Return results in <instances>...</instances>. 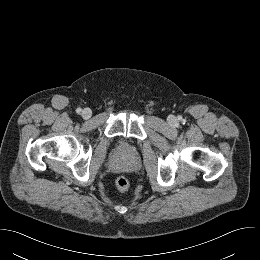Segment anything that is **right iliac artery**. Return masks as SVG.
Returning <instances> with one entry per match:
<instances>
[{
    "mask_svg": "<svg viewBox=\"0 0 260 260\" xmlns=\"http://www.w3.org/2000/svg\"><path fill=\"white\" fill-rule=\"evenodd\" d=\"M76 112H77L78 114H80V113L82 112V109H81V108H77V109H76Z\"/></svg>",
    "mask_w": 260,
    "mask_h": 260,
    "instance_id": "obj_1",
    "label": "right iliac artery"
}]
</instances>
